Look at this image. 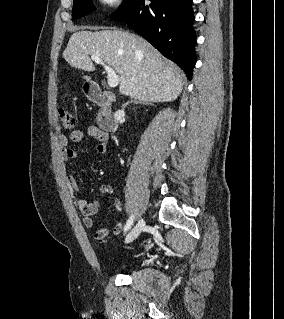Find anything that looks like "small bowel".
<instances>
[{
	"label": "small bowel",
	"mask_w": 284,
	"mask_h": 319,
	"mask_svg": "<svg viewBox=\"0 0 284 319\" xmlns=\"http://www.w3.org/2000/svg\"><path fill=\"white\" fill-rule=\"evenodd\" d=\"M87 134L97 141L96 151L99 154H105L107 150V140L108 135L106 132L102 131L96 126H90L87 129ZM84 137V132L82 130H75L68 136H62L60 138V144L63 147L62 156L63 160L68 162L77 157V152L68 147L70 143L80 142ZM67 184L70 190L74 193L79 192V184L73 176H69L67 179ZM105 194H114V189L111 186L104 185L100 188L99 196L94 201H89L85 198H79L77 200V207L83 216V223L87 228H93L95 225L94 215L98 212L100 206V198ZM114 206L120 211L122 208L121 201L119 198L114 197ZM122 222L115 223L111 228L104 227L95 231L94 238L97 241H103L104 238L112 233L114 235L119 234L122 231Z\"/></svg>",
	"instance_id": "1"
}]
</instances>
